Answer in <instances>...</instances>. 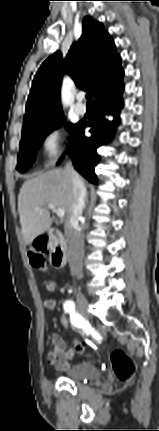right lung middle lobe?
<instances>
[{"label":"right lung middle lobe","instance_id":"obj_1","mask_svg":"<svg viewBox=\"0 0 159 431\" xmlns=\"http://www.w3.org/2000/svg\"><path fill=\"white\" fill-rule=\"evenodd\" d=\"M63 114H58L32 128L22 131V139L20 142V152L18 154V164L16 169L24 173L27 171L34 160L35 154L43 143L46 136L54 129L62 126L65 123ZM77 124H67L66 128L71 134L76 130Z\"/></svg>","mask_w":159,"mask_h":431}]
</instances>
